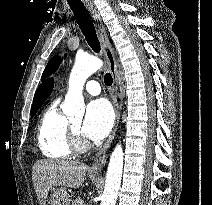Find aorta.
Segmentation results:
<instances>
[{
  "label": "aorta",
  "instance_id": "obj_1",
  "mask_svg": "<svg viewBox=\"0 0 212 205\" xmlns=\"http://www.w3.org/2000/svg\"><path fill=\"white\" fill-rule=\"evenodd\" d=\"M103 62L94 56H77L69 77L68 92L63 112L68 116L82 115L84 112L83 86L90 75L99 70ZM123 148L118 143L109 160L105 187L100 205H115L120 189L123 171Z\"/></svg>",
  "mask_w": 212,
  "mask_h": 205
}]
</instances>
